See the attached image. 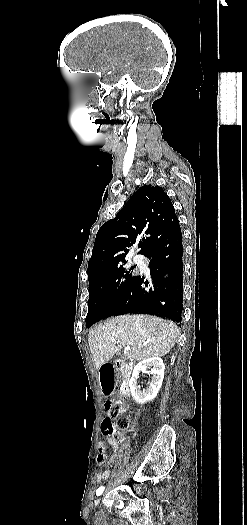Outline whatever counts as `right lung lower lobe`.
<instances>
[{"mask_svg": "<svg viewBox=\"0 0 247 525\" xmlns=\"http://www.w3.org/2000/svg\"><path fill=\"white\" fill-rule=\"evenodd\" d=\"M151 260L152 280L136 276L115 315L147 313L181 321L183 310V245L180 225L143 253ZM145 284L147 288H142Z\"/></svg>", "mask_w": 247, "mask_h": 525, "instance_id": "right-lung-lower-lobe-1", "label": "right lung lower lobe"}]
</instances>
